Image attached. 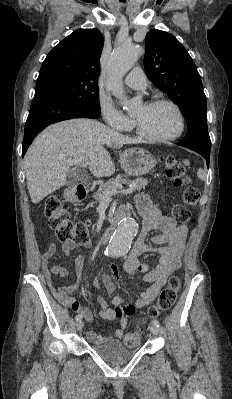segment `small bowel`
<instances>
[{
	"mask_svg": "<svg viewBox=\"0 0 232 399\" xmlns=\"http://www.w3.org/2000/svg\"><path fill=\"white\" fill-rule=\"evenodd\" d=\"M135 203L138 209L144 215V223L139 232L138 238L134 247L127 254V261L124 270L129 275H134L137 272H144L148 281L152 282L151 287L142 292L140 297L136 300L134 305H126L122 298L117 294L114 288H110L108 293L113 296L112 305L109 306L104 295H99L98 301L101 306L100 317L102 319H112L114 317L120 318L119 328L109 338L111 345L119 344V336H121L128 329V317L136 308H144L148 306L151 301L158 294L161 287L166 280L172 275L174 270L178 267L182 257V251L185 246V239L187 230L183 226L176 225L172 220L162 219L159 215L160 205L147 195L139 193L135 196ZM160 230L161 234L153 238V243L156 246L167 244L158 250L160 254V263L155 268H150L149 265L140 263L138 260L139 254L147 248V236L151 230ZM82 246L86 249L92 247L91 242H83L82 244L72 241H66L62 244V251L60 254L56 252L55 242H50L48 251L41 260V268L44 272L47 281L49 292L56 297H59L63 305L70 307L73 310L80 312L85 322L80 324V327L88 326L94 322V313L90 308L80 304L73 299L71 293L79 290L82 280L81 268L78 267L77 277L75 282L56 287L53 283V278L57 275L65 276L66 272L58 264L49 265V260L58 257H70L73 250ZM76 260L80 261L81 256L77 255ZM111 276L108 272L103 273L102 280L109 283ZM93 285L96 290H100V282L97 278L93 280ZM87 338L93 345H102L103 338L93 331H87Z\"/></svg>",
	"mask_w": 232,
	"mask_h": 399,
	"instance_id": "c3829d8e",
	"label": "small bowel"
}]
</instances>
